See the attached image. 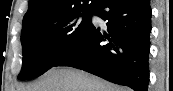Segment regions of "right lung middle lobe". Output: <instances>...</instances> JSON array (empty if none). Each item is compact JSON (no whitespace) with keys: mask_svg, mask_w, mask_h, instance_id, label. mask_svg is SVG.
Returning a JSON list of instances; mask_svg holds the SVG:
<instances>
[{"mask_svg":"<svg viewBox=\"0 0 173 91\" xmlns=\"http://www.w3.org/2000/svg\"><path fill=\"white\" fill-rule=\"evenodd\" d=\"M93 7L22 28L20 80L45 73L74 49L91 27Z\"/></svg>","mask_w":173,"mask_h":91,"instance_id":"1","label":"right lung middle lobe"}]
</instances>
